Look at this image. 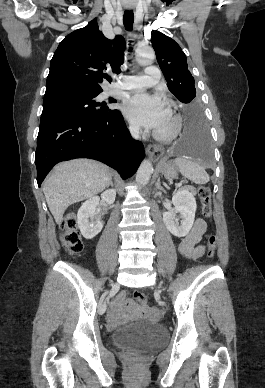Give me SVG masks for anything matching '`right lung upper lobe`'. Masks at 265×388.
Returning a JSON list of instances; mask_svg holds the SVG:
<instances>
[{
  "label": "right lung upper lobe",
  "mask_w": 265,
  "mask_h": 388,
  "mask_svg": "<svg viewBox=\"0 0 265 388\" xmlns=\"http://www.w3.org/2000/svg\"><path fill=\"white\" fill-rule=\"evenodd\" d=\"M124 49L125 40L121 35L107 39L93 19L59 44L50 63L44 97L102 92L100 83L111 82L106 71L120 73Z\"/></svg>",
  "instance_id": "1"
}]
</instances>
